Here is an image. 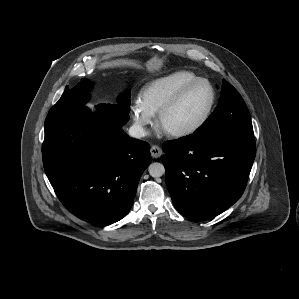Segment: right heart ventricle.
I'll return each mask as SVG.
<instances>
[{
    "label": "right heart ventricle",
    "instance_id": "e07e8e85",
    "mask_svg": "<svg viewBox=\"0 0 299 299\" xmlns=\"http://www.w3.org/2000/svg\"><path fill=\"white\" fill-rule=\"evenodd\" d=\"M198 78L190 71H177L158 78L143 88L139 102L154 115L158 114L181 87Z\"/></svg>",
    "mask_w": 299,
    "mask_h": 299
}]
</instances>
